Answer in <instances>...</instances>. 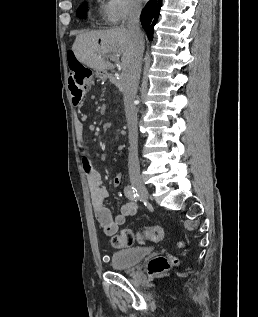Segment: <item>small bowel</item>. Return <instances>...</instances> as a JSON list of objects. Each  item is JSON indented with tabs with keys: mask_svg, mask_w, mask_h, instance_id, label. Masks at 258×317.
Instances as JSON below:
<instances>
[{
	"mask_svg": "<svg viewBox=\"0 0 258 317\" xmlns=\"http://www.w3.org/2000/svg\"><path fill=\"white\" fill-rule=\"evenodd\" d=\"M74 131L79 147L81 148L82 167L87 179V184L91 197V204L97 221L107 236L117 233L119 227L126 222L127 217L136 213L137 206L133 202H127L121 207V212L113 216L110 209L105 204L108 192L104 187L99 172L95 169L89 156L84 152V123L80 117L74 120ZM123 175L118 173L113 178V185L119 186Z\"/></svg>",
	"mask_w": 258,
	"mask_h": 317,
	"instance_id": "1",
	"label": "small bowel"
}]
</instances>
